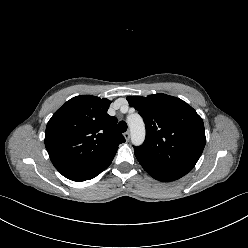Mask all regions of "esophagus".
<instances>
[{"label": "esophagus", "mask_w": 248, "mask_h": 248, "mask_svg": "<svg viewBox=\"0 0 248 248\" xmlns=\"http://www.w3.org/2000/svg\"><path fill=\"white\" fill-rule=\"evenodd\" d=\"M124 138L126 139V141L129 140L130 138V132L129 131H126L124 134H123Z\"/></svg>", "instance_id": "1"}]
</instances>
